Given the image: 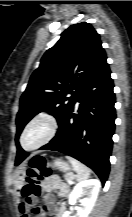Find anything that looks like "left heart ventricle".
I'll return each mask as SVG.
<instances>
[{"label":"left heart ventricle","mask_w":132,"mask_h":217,"mask_svg":"<svg viewBox=\"0 0 132 217\" xmlns=\"http://www.w3.org/2000/svg\"><path fill=\"white\" fill-rule=\"evenodd\" d=\"M47 133V125L44 122H39L31 127L24 137L26 147H32L39 143Z\"/></svg>","instance_id":"obj_1"}]
</instances>
